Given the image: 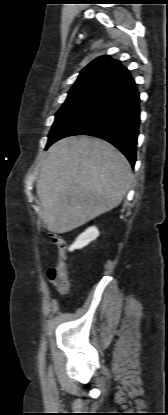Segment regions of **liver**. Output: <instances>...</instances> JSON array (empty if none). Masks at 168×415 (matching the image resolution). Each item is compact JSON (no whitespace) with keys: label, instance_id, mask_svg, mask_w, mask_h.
<instances>
[{"label":"liver","instance_id":"6515ba94","mask_svg":"<svg viewBox=\"0 0 168 415\" xmlns=\"http://www.w3.org/2000/svg\"><path fill=\"white\" fill-rule=\"evenodd\" d=\"M131 180L128 160L110 143L90 136L57 141L37 181L45 227L63 234L116 208Z\"/></svg>","mask_w":168,"mask_h":415}]
</instances>
